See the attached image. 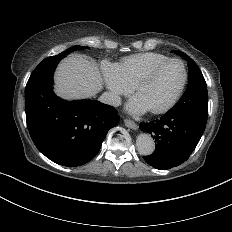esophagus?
Instances as JSON below:
<instances>
[{
  "mask_svg": "<svg viewBox=\"0 0 232 232\" xmlns=\"http://www.w3.org/2000/svg\"><path fill=\"white\" fill-rule=\"evenodd\" d=\"M124 124H125L126 127L131 128L133 130L138 129V125L135 122L131 121V120L125 119Z\"/></svg>",
  "mask_w": 232,
  "mask_h": 232,
  "instance_id": "34e87169",
  "label": "esophagus"
}]
</instances>
